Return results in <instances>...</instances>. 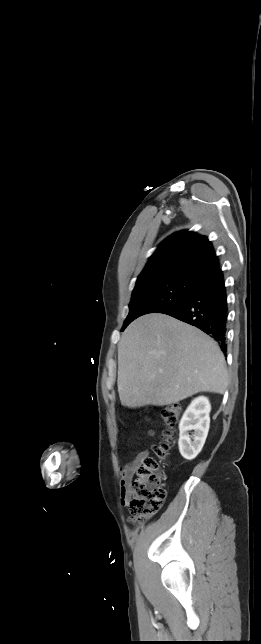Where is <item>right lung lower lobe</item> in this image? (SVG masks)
<instances>
[{
    "mask_svg": "<svg viewBox=\"0 0 261 644\" xmlns=\"http://www.w3.org/2000/svg\"><path fill=\"white\" fill-rule=\"evenodd\" d=\"M160 313L201 329L218 341L225 353L228 305L224 275L220 268L197 280L182 302Z\"/></svg>",
    "mask_w": 261,
    "mask_h": 644,
    "instance_id": "98d812e1",
    "label": "right lung lower lobe"
}]
</instances>
